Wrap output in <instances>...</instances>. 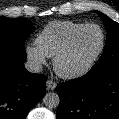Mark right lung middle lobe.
Instances as JSON below:
<instances>
[{
    "label": "right lung middle lobe",
    "instance_id": "dd1d6c3e",
    "mask_svg": "<svg viewBox=\"0 0 119 119\" xmlns=\"http://www.w3.org/2000/svg\"><path fill=\"white\" fill-rule=\"evenodd\" d=\"M34 29L26 19L0 17V54L26 56L24 43Z\"/></svg>",
    "mask_w": 119,
    "mask_h": 119
}]
</instances>
